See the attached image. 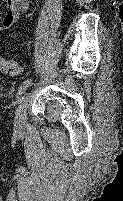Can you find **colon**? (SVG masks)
Instances as JSON below:
<instances>
[{
    "label": "colon",
    "instance_id": "1",
    "mask_svg": "<svg viewBox=\"0 0 123 201\" xmlns=\"http://www.w3.org/2000/svg\"><path fill=\"white\" fill-rule=\"evenodd\" d=\"M0 71L4 74L15 76L20 72V65L14 60H6L0 56Z\"/></svg>",
    "mask_w": 123,
    "mask_h": 201
}]
</instances>
